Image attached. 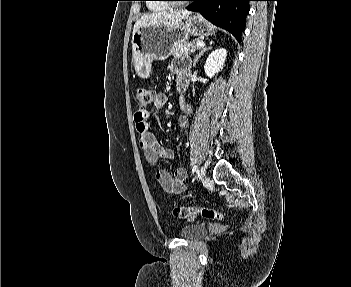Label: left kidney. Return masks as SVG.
I'll return each instance as SVG.
<instances>
[{
	"label": "left kidney",
	"instance_id": "left-kidney-1",
	"mask_svg": "<svg viewBox=\"0 0 351 287\" xmlns=\"http://www.w3.org/2000/svg\"><path fill=\"white\" fill-rule=\"evenodd\" d=\"M227 56V51L224 48H219L212 51L206 59L204 70L205 74L212 78L223 68Z\"/></svg>",
	"mask_w": 351,
	"mask_h": 287
}]
</instances>
